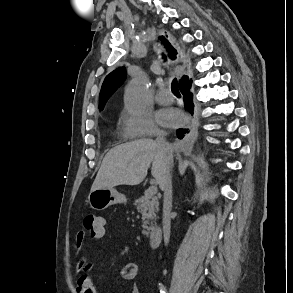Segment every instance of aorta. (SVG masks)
Returning a JSON list of instances; mask_svg holds the SVG:
<instances>
[{"mask_svg":"<svg viewBox=\"0 0 293 293\" xmlns=\"http://www.w3.org/2000/svg\"><path fill=\"white\" fill-rule=\"evenodd\" d=\"M148 80L145 77L134 78L127 86L125 103L129 110L142 112L146 105Z\"/></svg>","mask_w":293,"mask_h":293,"instance_id":"762f6f07","label":"aorta"}]
</instances>
